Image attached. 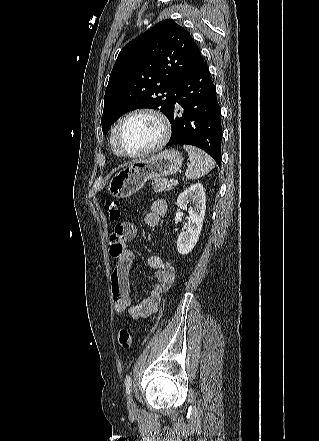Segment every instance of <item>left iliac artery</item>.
I'll return each mask as SVG.
<instances>
[{"instance_id":"obj_1","label":"left iliac artery","mask_w":319,"mask_h":441,"mask_svg":"<svg viewBox=\"0 0 319 441\" xmlns=\"http://www.w3.org/2000/svg\"><path fill=\"white\" fill-rule=\"evenodd\" d=\"M131 385H132V380L130 375H128L125 379V388H126V393L130 394L131 392Z\"/></svg>"}]
</instances>
